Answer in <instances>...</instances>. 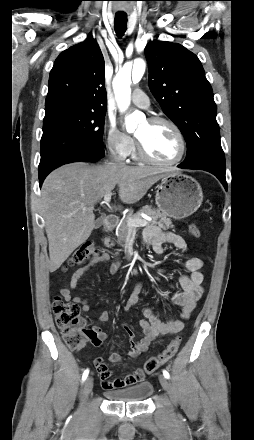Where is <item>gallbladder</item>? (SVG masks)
<instances>
[{
  "mask_svg": "<svg viewBox=\"0 0 254 440\" xmlns=\"http://www.w3.org/2000/svg\"><path fill=\"white\" fill-rule=\"evenodd\" d=\"M101 225H102L101 220H100V219H97V220L95 221V228H99Z\"/></svg>",
  "mask_w": 254,
  "mask_h": 440,
  "instance_id": "gallbladder-1",
  "label": "gallbladder"
}]
</instances>
